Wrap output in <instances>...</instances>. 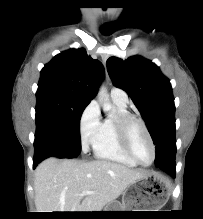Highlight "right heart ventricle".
I'll return each instance as SVG.
<instances>
[{
    "label": "right heart ventricle",
    "instance_id": "right-heart-ventricle-1",
    "mask_svg": "<svg viewBox=\"0 0 203 219\" xmlns=\"http://www.w3.org/2000/svg\"><path fill=\"white\" fill-rule=\"evenodd\" d=\"M116 114L107 117L100 125L93 143L94 155L97 159L119 163L129 167L137 166L124 151L116 125V119L121 114H127V105L115 102Z\"/></svg>",
    "mask_w": 203,
    "mask_h": 219
}]
</instances>
